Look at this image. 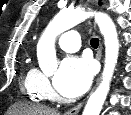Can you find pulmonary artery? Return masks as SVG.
Returning <instances> with one entry per match:
<instances>
[{"label": "pulmonary artery", "mask_w": 131, "mask_h": 115, "mask_svg": "<svg viewBox=\"0 0 131 115\" xmlns=\"http://www.w3.org/2000/svg\"><path fill=\"white\" fill-rule=\"evenodd\" d=\"M59 46L67 52H75L80 47V35L77 31H67L58 38Z\"/></svg>", "instance_id": "1"}]
</instances>
